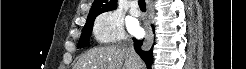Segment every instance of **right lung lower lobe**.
I'll use <instances>...</instances> for the list:
<instances>
[{"label":"right lung lower lobe","mask_w":246,"mask_h":69,"mask_svg":"<svg viewBox=\"0 0 246 69\" xmlns=\"http://www.w3.org/2000/svg\"><path fill=\"white\" fill-rule=\"evenodd\" d=\"M153 30H154V27H153ZM133 41H134V48L136 52L140 55L143 61L147 64L148 69H151L153 47L148 51H142L140 48L142 45V40H137L133 38Z\"/></svg>","instance_id":"right-lung-lower-lobe-1"}]
</instances>
